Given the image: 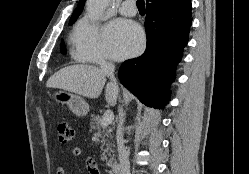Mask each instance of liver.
<instances>
[{
    "label": "liver",
    "instance_id": "6515ba94",
    "mask_svg": "<svg viewBox=\"0 0 249 174\" xmlns=\"http://www.w3.org/2000/svg\"><path fill=\"white\" fill-rule=\"evenodd\" d=\"M106 83V74L93 65H71L60 69L47 81V87L63 89L88 98H98ZM118 90L110 82L106 85L105 99L111 106L116 105Z\"/></svg>",
    "mask_w": 249,
    "mask_h": 174
}]
</instances>
